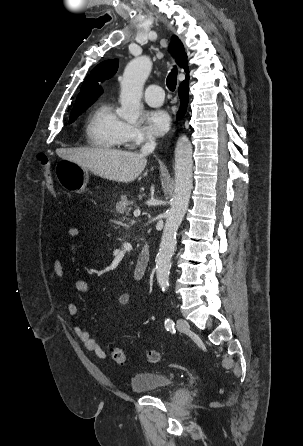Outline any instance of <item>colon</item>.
<instances>
[{
	"instance_id": "1",
	"label": "colon",
	"mask_w": 303,
	"mask_h": 446,
	"mask_svg": "<svg viewBox=\"0 0 303 446\" xmlns=\"http://www.w3.org/2000/svg\"><path fill=\"white\" fill-rule=\"evenodd\" d=\"M38 160L42 166L47 189L52 194L57 195L58 189H57V185L53 178V174H52L51 167H50V161H49L48 157L45 154H39ZM111 354H112L114 361L117 364H119V365L126 364V361H127L126 354L122 349L113 348V349H111ZM147 359L151 363H157L160 360V354L155 350H151L147 353Z\"/></svg>"
}]
</instances>
